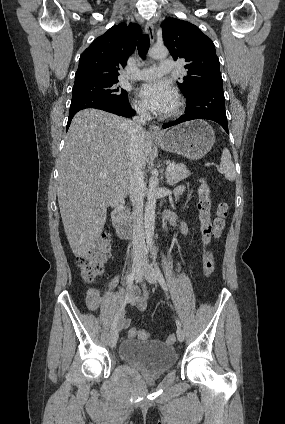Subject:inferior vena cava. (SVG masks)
<instances>
[{
    "label": "inferior vena cava",
    "instance_id": "1",
    "mask_svg": "<svg viewBox=\"0 0 285 424\" xmlns=\"http://www.w3.org/2000/svg\"><path fill=\"white\" fill-rule=\"evenodd\" d=\"M137 116L130 121V160L131 173L129 179V194L133 206L132 212V245L134 260L145 261V233L143 227L144 176L139 161V151L144 125L151 119L148 110L142 106H135Z\"/></svg>",
    "mask_w": 285,
    "mask_h": 424
}]
</instances>
